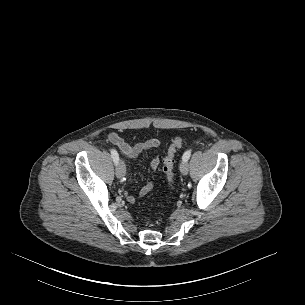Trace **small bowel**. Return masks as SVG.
<instances>
[{
	"label": "small bowel",
	"mask_w": 305,
	"mask_h": 305,
	"mask_svg": "<svg viewBox=\"0 0 305 305\" xmlns=\"http://www.w3.org/2000/svg\"><path fill=\"white\" fill-rule=\"evenodd\" d=\"M108 140L120 151L122 155L130 159L138 158L147 150L152 148H158L161 144V141L158 138H150L148 140L141 141L135 144H129L115 132H111L108 134ZM160 162L161 160L159 156L153 157L150 163L151 170L154 172L157 171L160 166ZM153 187V182H148L145 186L141 188L138 193V197H144L153 189ZM126 199L128 202L134 203L136 197L132 194H126Z\"/></svg>",
	"instance_id": "1"
}]
</instances>
